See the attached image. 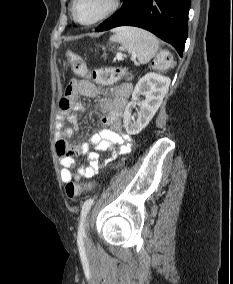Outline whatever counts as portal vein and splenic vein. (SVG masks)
I'll return each instance as SVG.
<instances>
[{"mask_svg":"<svg viewBox=\"0 0 233 284\" xmlns=\"http://www.w3.org/2000/svg\"><path fill=\"white\" fill-rule=\"evenodd\" d=\"M117 58H118V59H122V56H121V55H117Z\"/></svg>","mask_w":233,"mask_h":284,"instance_id":"18ae733b","label":"portal vein and splenic vein"}]
</instances>
